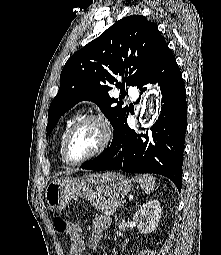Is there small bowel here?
Segmentation results:
<instances>
[{"instance_id": "obj_1", "label": "small bowel", "mask_w": 221, "mask_h": 255, "mask_svg": "<svg viewBox=\"0 0 221 255\" xmlns=\"http://www.w3.org/2000/svg\"><path fill=\"white\" fill-rule=\"evenodd\" d=\"M111 218L106 215H100L95 218L92 226L91 233L88 239V246L92 249L96 248L100 242L105 230L111 227ZM71 245L69 255H82V251L85 246L82 232L79 228L77 234L71 235Z\"/></svg>"}]
</instances>
